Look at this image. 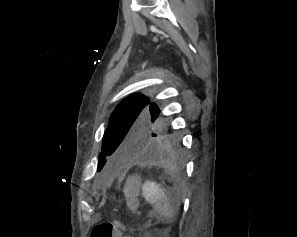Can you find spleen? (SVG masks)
Returning a JSON list of instances; mask_svg holds the SVG:
<instances>
[{
	"label": "spleen",
	"instance_id": "obj_1",
	"mask_svg": "<svg viewBox=\"0 0 297 237\" xmlns=\"http://www.w3.org/2000/svg\"><path fill=\"white\" fill-rule=\"evenodd\" d=\"M144 198L154 204L155 211L162 218L171 222L175 217V210L170 203L169 196L162 186L155 182L146 181L142 186Z\"/></svg>",
	"mask_w": 297,
	"mask_h": 237
}]
</instances>
